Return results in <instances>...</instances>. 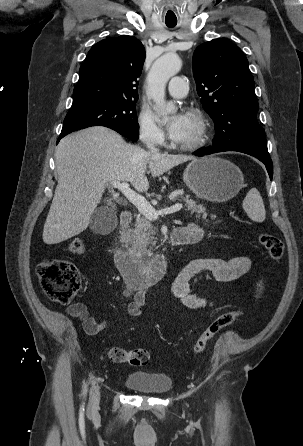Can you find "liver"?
<instances>
[{
    "label": "liver",
    "mask_w": 303,
    "mask_h": 446,
    "mask_svg": "<svg viewBox=\"0 0 303 446\" xmlns=\"http://www.w3.org/2000/svg\"><path fill=\"white\" fill-rule=\"evenodd\" d=\"M193 159L188 155L152 154L102 126L64 137L55 151L58 185L43 241L57 244L83 232L110 183L130 182L137 191L146 192L147 168L158 177Z\"/></svg>",
    "instance_id": "1"
}]
</instances>
